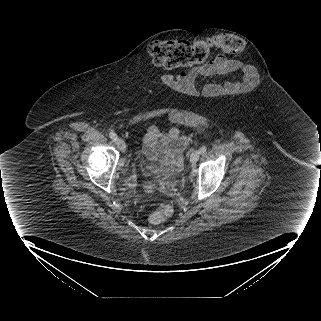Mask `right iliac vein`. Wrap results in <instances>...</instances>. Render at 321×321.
Segmentation results:
<instances>
[{"label": "right iliac vein", "instance_id": "obj_1", "mask_svg": "<svg viewBox=\"0 0 321 321\" xmlns=\"http://www.w3.org/2000/svg\"><path fill=\"white\" fill-rule=\"evenodd\" d=\"M117 146L123 153L126 151V143L124 142L123 139L121 138L117 139Z\"/></svg>", "mask_w": 321, "mask_h": 321}]
</instances>
